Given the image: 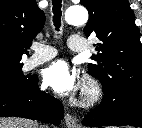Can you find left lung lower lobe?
I'll use <instances>...</instances> for the list:
<instances>
[{
  "mask_svg": "<svg viewBox=\"0 0 142 128\" xmlns=\"http://www.w3.org/2000/svg\"><path fill=\"white\" fill-rule=\"evenodd\" d=\"M82 124L89 127L130 125L142 127V92L104 95Z\"/></svg>",
  "mask_w": 142,
  "mask_h": 128,
  "instance_id": "1",
  "label": "left lung lower lobe"
}]
</instances>
